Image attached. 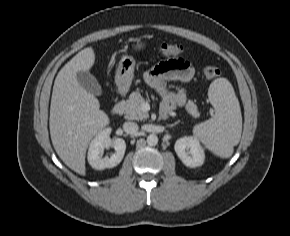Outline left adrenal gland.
Listing matches in <instances>:
<instances>
[{
	"label": "left adrenal gland",
	"mask_w": 290,
	"mask_h": 236,
	"mask_svg": "<svg viewBox=\"0 0 290 236\" xmlns=\"http://www.w3.org/2000/svg\"><path fill=\"white\" fill-rule=\"evenodd\" d=\"M179 122H180V120H178V121H176L175 123L169 125L168 127H173V126L177 125Z\"/></svg>",
	"instance_id": "left-adrenal-gland-1"
}]
</instances>
